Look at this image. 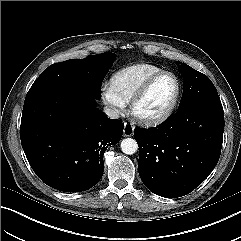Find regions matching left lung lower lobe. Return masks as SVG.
Masks as SVG:
<instances>
[{
  "mask_svg": "<svg viewBox=\"0 0 241 241\" xmlns=\"http://www.w3.org/2000/svg\"><path fill=\"white\" fill-rule=\"evenodd\" d=\"M223 132L222 104L212 102L180 107L157 127L135 128L142 182L162 197L177 198L190 193L216 166Z\"/></svg>",
  "mask_w": 241,
  "mask_h": 241,
  "instance_id": "obj_1",
  "label": "left lung lower lobe"
}]
</instances>
